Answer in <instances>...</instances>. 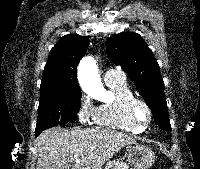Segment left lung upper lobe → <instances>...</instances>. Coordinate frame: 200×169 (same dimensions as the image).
I'll list each match as a JSON object with an SVG mask.
<instances>
[{
  "label": "left lung upper lobe",
  "mask_w": 200,
  "mask_h": 169,
  "mask_svg": "<svg viewBox=\"0 0 200 169\" xmlns=\"http://www.w3.org/2000/svg\"><path fill=\"white\" fill-rule=\"evenodd\" d=\"M108 58L129 75L151 109L155 123L171 131L164 82L152 50L134 32H122L107 39Z\"/></svg>",
  "instance_id": "1"
}]
</instances>
